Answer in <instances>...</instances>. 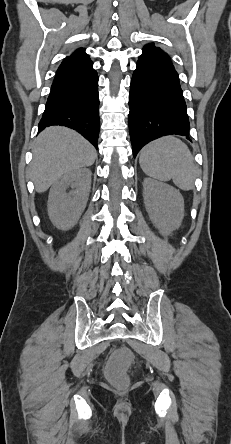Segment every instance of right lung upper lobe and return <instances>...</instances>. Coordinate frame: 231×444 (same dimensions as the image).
<instances>
[{"label":"right lung upper lobe","instance_id":"right-lung-upper-lobe-1","mask_svg":"<svg viewBox=\"0 0 231 444\" xmlns=\"http://www.w3.org/2000/svg\"><path fill=\"white\" fill-rule=\"evenodd\" d=\"M92 64L89 56L85 53V49L79 48L63 60L56 72V76L79 72Z\"/></svg>","mask_w":231,"mask_h":444}]
</instances>
